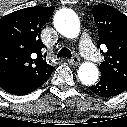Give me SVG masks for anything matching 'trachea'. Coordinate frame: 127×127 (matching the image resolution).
Instances as JSON below:
<instances>
[{
  "label": "trachea",
  "instance_id": "3493384b",
  "mask_svg": "<svg viewBox=\"0 0 127 127\" xmlns=\"http://www.w3.org/2000/svg\"><path fill=\"white\" fill-rule=\"evenodd\" d=\"M71 52L69 51V49H67V48H62L60 51H59V53H58V58L59 57H66V58H71Z\"/></svg>",
  "mask_w": 127,
  "mask_h": 127
}]
</instances>
